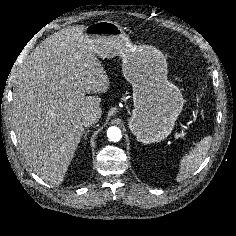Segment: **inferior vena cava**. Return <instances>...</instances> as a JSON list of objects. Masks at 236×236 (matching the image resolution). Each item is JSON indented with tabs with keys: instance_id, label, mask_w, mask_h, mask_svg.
<instances>
[{
	"instance_id": "inferior-vena-cava-1",
	"label": "inferior vena cava",
	"mask_w": 236,
	"mask_h": 236,
	"mask_svg": "<svg viewBox=\"0 0 236 236\" xmlns=\"http://www.w3.org/2000/svg\"><path fill=\"white\" fill-rule=\"evenodd\" d=\"M99 118L100 116L93 111L86 112L82 116V124L84 127L92 126L99 121Z\"/></svg>"
}]
</instances>
